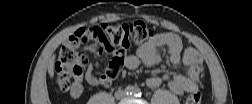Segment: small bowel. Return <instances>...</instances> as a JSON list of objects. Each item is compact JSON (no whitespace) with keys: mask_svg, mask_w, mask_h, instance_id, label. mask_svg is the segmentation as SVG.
<instances>
[{"mask_svg":"<svg viewBox=\"0 0 252 104\" xmlns=\"http://www.w3.org/2000/svg\"><path fill=\"white\" fill-rule=\"evenodd\" d=\"M167 47L169 51V63L172 67H184L186 75L177 73H166L163 76H152L146 80L149 88H156L163 81H167L172 92L177 95H184L198 89L200 73L203 64L201 55L193 48L183 50L182 41L177 34L159 33L149 41L141 45L135 54L123 56V64L128 69H135L141 63L146 66H156L160 63V50ZM93 53H101L102 50L97 44L90 48ZM120 71V69H119ZM119 73V72H118ZM86 81L91 86L110 87L113 79L106 73L97 75L93 65H88L85 75ZM81 90L70 93L76 99L80 96Z\"/></svg>","mask_w":252,"mask_h":104,"instance_id":"1","label":"small bowel"}]
</instances>
